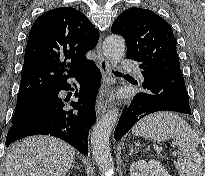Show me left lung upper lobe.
<instances>
[{
    "label": "left lung upper lobe",
    "mask_w": 205,
    "mask_h": 176,
    "mask_svg": "<svg viewBox=\"0 0 205 176\" xmlns=\"http://www.w3.org/2000/svg\"><path fill=\"white\" fill-rule=\"evenodd\" d=\"M112 32L125 39L126 57L139 62L143 71L180 68L173 31L153 11L127 9L114 21Z\"/></svg>",
    "instance_id": "5c2ea615"
}]
</instances>
